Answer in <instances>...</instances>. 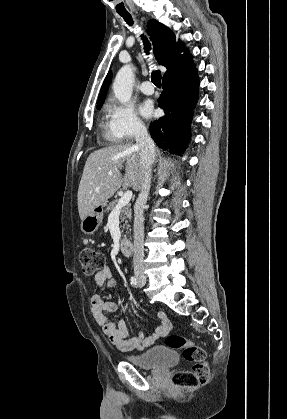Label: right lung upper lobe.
<instances>
[{"label":"right lung upper lobe","instance_id":"obj_1","mask_svg":"<svg viewBox=\"0 0 287 419\" xmlns=\"http://www.w3.org/2000/svg\"><path fill=\"white\" fill-rule=\"evenodd\" d=\"M147 33L150 35L156 60L167 68L163 77L179 74L194 65L191 55L180 41L175 42V35L169 28L152 19L148 22ZM182 51L185 52L184 55L180 54ZM111 76L109 72L103 82L97 107L102 106L104 102Z\"/></svg>","mask_w":287,"mask_h":419}]
</instances>
